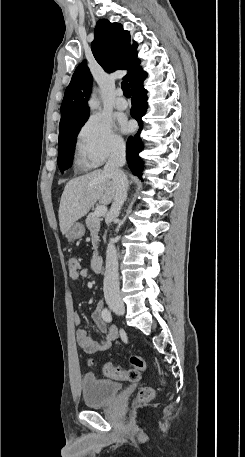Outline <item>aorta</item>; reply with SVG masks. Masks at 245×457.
<instances>
[{
	"label": "aorta",
	"instance_id": "1",
	"mask_svg": "<svg viewBox=\"0 0 245 457\" xmlns=\"http://www.w3.org/2000/svg\"><path fill=\"white\" fill-rule=\"evenodd\" d=\"M88 104H89L91 109H94V108H96V107H98L100 105V102L98 101L96 96L94 94H92Z\"/></svg>",
	"mask_w": 245,
	"mask_h": 457
}]
</instances>
